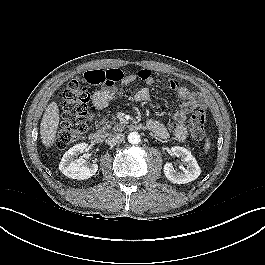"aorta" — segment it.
<instances>
[{"instance_id": "762f6f07", "label": "aorta", "mask_w": 265, "mask_h": 265, "mask_svg": "<svg viewBox=\"0 0 265 265\" xmlns=\"http://www.w3.org/2000/svg\"><path fill=\"white\" fill-rule=\"evenodd\" d=\"M128 141L131 144H138L140 142V135L137 132H131L128 135Z\"/></svg>"}]
</instances>
